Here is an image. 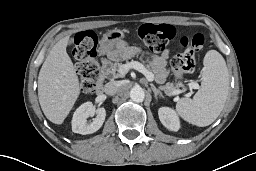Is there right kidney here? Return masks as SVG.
<instances>
[{
  "mask_svg": "<svg viewBox=\"0 0 256 171\" xmlns=\"http://www.w3.org/2000/svg\"><path fill=\"white\" fill-rule=\"evenodd\" d=\"M96 114L93 122L88 124L87 118ZM106 117V110L101 107L95 109L92 102H86L76 109L72 119V131L82 135L92 134L98 131L103 125Z\"/></svg>",
  "mask_w": 256,
  "mask_h": 171,
  "instance_id": "obj_1",
  "label": "right kidney"
}]
</instances>
